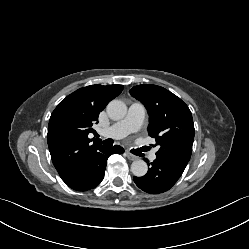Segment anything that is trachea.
Here are the masks:
<instances>
[{"mask_svg":"<svg viewBox=\"0 0 249 249\" xmlns=\"http://www.w3.org/2000/svg\"><path fill=\"white\" fill-rule=\"evenodd\" d=\"M103 144L111 147L113 145V140L108 138V139L103 141Z\"/></svg>","mask_w":249,"mask_h":249,"instance_id":"trachea-1","label":"trachea"}]
</instances>
